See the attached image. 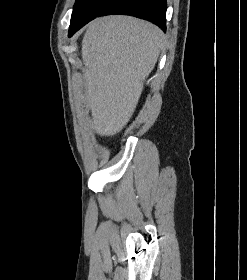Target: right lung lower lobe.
Masks as SVG:
<instances>
[{"mask_svg": "<svg viewBox=\"0 0 247 280\" xmlns=\"http://www.w3.org/2000/svg\"><path fill=\"white\" fill-rule=\"evenodd\" d=\"M166 9V0H108L95 17L110 14L131 15L151 21L166 31ZM86 23L70 27L68 36L71 37Z\"/></svg>", "mask_w": 247, "mask_h": 280, "instance_id": "obj_1", "label": "right lung lower lobe"}]
</instances>
